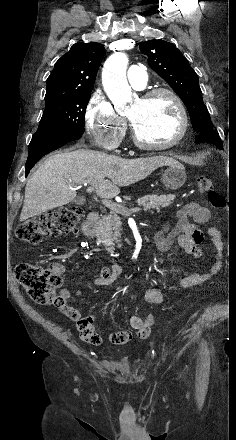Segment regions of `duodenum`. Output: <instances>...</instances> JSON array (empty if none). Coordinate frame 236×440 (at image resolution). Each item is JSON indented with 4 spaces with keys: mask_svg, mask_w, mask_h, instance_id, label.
<instances>
[{
    "mask_svg": "<svg viewBox=\"0 0 236 440\" xmlns=\"http://www.w3.org/2000/svg\"><path fill=\"white\" fill-rule=\"evenodd\" d=\"M99 217L100 216L98 212L92 211L87 215L85 221L82 224V233L89 240L95 239V229Z\"/></svg>",
    "mask_w": 236,
    "mask_h": 440,
    "instance_id": "1",
    "label": "duodenum"
}]
</instances>
